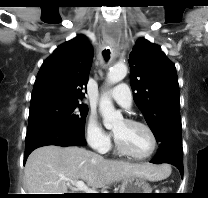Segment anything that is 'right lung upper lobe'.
<instances>
[{
  "label": "right lung upper lobe",
  "mask_w": 208,
  "mask_h": 198,
  "mask_svg": "<svg viewBox=\"0 0 208 198\" xmlns=\"http://www.w3.org/2000/svg\"><path fill=\"white\" fill-rule=\"evenodd\" d=\"M92 58V47L84 35L58 46L38 72L30 107L53 101H80Z\"/></svg>",
  "instance_id": "1"
}]
</instances>
